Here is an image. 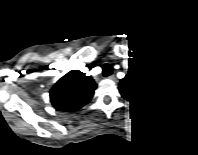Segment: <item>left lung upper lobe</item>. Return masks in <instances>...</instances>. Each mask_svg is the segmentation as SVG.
Instances as JSON below:
<instances>
[{
    "label": "left lung upper lobe",
    "mask_w": 198,
    "mask_h": 155,
    "mask_svg": "<svg viewBox=\"0 0 198 155\" xmlns=\"http://www.w3.org/2000/svg\"><path fill=\"white\" fill-rule=\"evenodd\" d=\"M119 91L136 108L153 106L163 99L164 88L152 76L137 67H131L121 79Z\"/></svg>",
    "instance_id": "left-lung-upper-lobe-1"
}]
</instances>
